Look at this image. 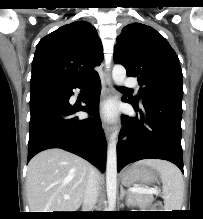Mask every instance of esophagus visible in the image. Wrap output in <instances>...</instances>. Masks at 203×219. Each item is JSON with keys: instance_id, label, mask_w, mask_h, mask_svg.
<instances>
[{"instance_id": "esophagus-1", "label": "esophagus", "mask_w": 203, "mask_h": 219, "mask_svg": "<svg viewBox=\"0 0 203 219\" xmlns=\"http://www.w3.org/2000/svg\"><path fill=\"white\" fill-rule=\"evenodd\" d=\"M114 93L113 81L111 78V72L108 69L102 78V100L109 98ZM102 127L104 129L106 138L109 139L111 136V126L110 123L106 120L102 121Z\"/></svg>"}]
</instances>
